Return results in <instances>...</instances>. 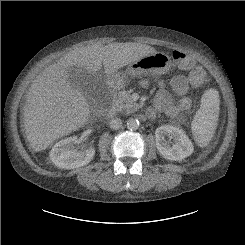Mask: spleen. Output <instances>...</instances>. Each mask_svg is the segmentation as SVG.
Masks as SVG:
<instances>
[{"label": "spleen", "instance_id": "3e777b00", "mask_svg": "<svg viewBox=\"0 0 245 245\" xmlns=\"http://www.w3.org/2000/svg\"><path fill=\"white\" fill-rule=\"evenodd\" d=\"M219 106L216 89H209L202 95L200 109L192 121V132L198 145L206 146L211 141L218 122Z\"/></svg>", "mask_w": 245, "mask_h": 245}]
</instances>
